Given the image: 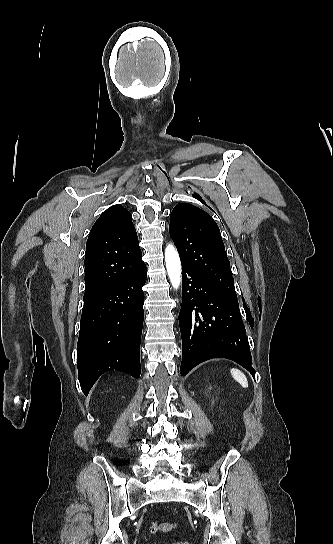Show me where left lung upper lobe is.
I'll return each mask as SVG.
<instances>
[{
  "label": "left lung upper lobe",
  "instance_id": "obj_1",
  "mask_svg": "<svg viewBox=\"0 0 333 544\" xmlns=\"http://www.w3.org/2000/svg\"><path fill=\"white\" fill-rule=\"evenodd\" d=\"M170 218L169 232L181 263L238 302L224 243L212 217L194 205L179 203Z\"/></svg>",
  "mask_w": 333,
  "mask_h": 544
}]
</instances>
